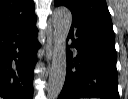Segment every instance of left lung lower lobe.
<instances>
[{
  "mask_svg": "<svg viewBox=\"0 0 128 99\" xmlns=\"http://www.w3.org/2000/svg\"><path fill=\"white\" fill-rule=\"evenodd\" d=\"M74 33L78 38L67 46L66 79L58 99H119L113 29L72 21L69 37ZM69 48H76V53Z\"/></svg>",
  "mask_w": 128,
  "mask_h": 99,
  "instance_id": "obj_1",
  "label": "left lung lower lobe"
}]
</instances>
